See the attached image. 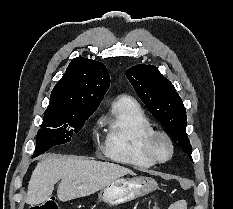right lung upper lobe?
Segmentation results:
<instances>
[{
  "mask_svg": "<svg viewBox=\"0 0 233 209\" xmlns=\"http://www.w3.org/2000/svg\"><path fill=\"white\" fill-rule=\"evenodd\" d=\"M109 86L110 76L101 62L74 58L54 86L45 115L61 114L80 107H98Z\"/></svg>",
  "mask_w": 233,
  "mask_h": 209,
  "instance_id": "right-lung-upper-lobe-1",
  "label": "right lung upper lobe"
}]
</instances>
